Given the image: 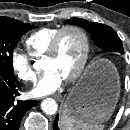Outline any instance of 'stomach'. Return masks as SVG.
Here are the masks:
<instances>
[{
    "label": "stomach",
    "instance_id": "obj_1",
    "mask_svg": "<svg viewBox=\"0 0 130 130\" xmlns=\"http://www.w3.org/2000/svg\"><path fill=\"white\" fill-rule=\"evenodd\" d=\"M88 75L96 78L88 91H83V81ZM120 96V78L115 66L106 60L93 65L71 89L63 103V113L75 120L94 125L107 121L115 110Z\"/></svg>",
    "mask_w": 130,
    "mask_h": 130
}]
</instances>
